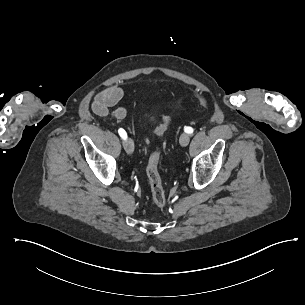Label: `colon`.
<instances>
[{
  "instance_id": "5ec220e1",
  "label": "colon",
  "mask_w": 305,
  "mask_h": 305,
  "mask_svg": "<svg viewBox=\"0 0 305 305\" xmlns=\"http://www.w3.org/2000/svg\"><path fill=\"white\" fill-rule=\"evenodd\" d=\"M192 90H195V87H192ZM197 98L203 107L207 108L209 106L208 101L203 96L197 95ZM169 122L170 116L164 115L162 118V123L156 127V131L158 133L162 132L166 124ZM159 160L160 154L158 152H153L149 157L146 173L149 180L152 203L156 207L163 208L166 204L167 197L158 172Z\"/></svg>"
}]
</instances>
